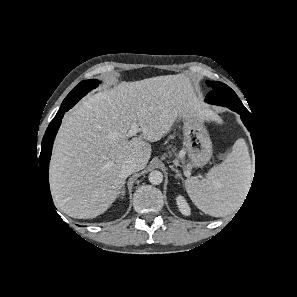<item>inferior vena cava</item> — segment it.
<instances>
[{"instance_id": "inferior-vena-cava-1", "label": "inferior vena cava", "mask_w": 297, "mask_h": 297, "mask_svg": "<svg viewBox=\"0 0 297 297\" xmlns=\"http://www.w3.org/2000/svg\"><path fill=\"white\" fill-rule=\"evenodd\" d=\"M136 171H138V165L136 161L133 159L127 160L121 166V172L125 177Z\"/></svg>"}]
</instances>
